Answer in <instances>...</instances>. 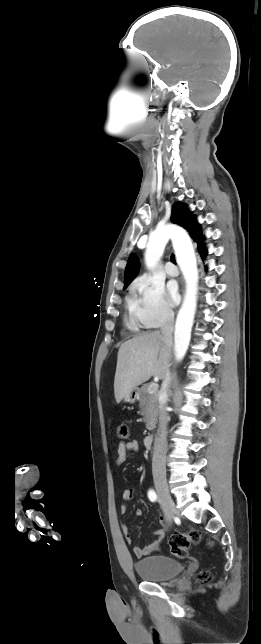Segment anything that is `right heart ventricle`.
Listing matches in <instances>:
<instances>
[{"instance_id": "e07e8e85", "label": "right heart ventricle", "mask_w": 261, "mask_h": 644, "mask_svg": "<svg viewBox=\"0 0 261 644\" xmlns=\"http://www.w3.org/2000/svg\"><path fill=\"white\" fill-rule=\"evenodd\" d=\"M127 308H128L129 315H128V318L126 320V324L130 329L135 330V329H137V326H138L139 322H138V320H137V318H136V316L134 314V302H133L132 298H128V300H127Z\"/></svg>"}]
</instances>
